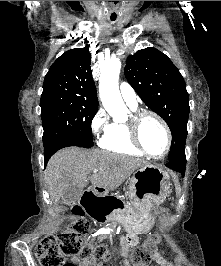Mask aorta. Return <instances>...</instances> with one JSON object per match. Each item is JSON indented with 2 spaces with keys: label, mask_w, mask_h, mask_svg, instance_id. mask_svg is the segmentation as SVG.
<instances>
[{
  "label": "aorta",
  "mask_w": 221,
  "mask_h": 266,
  "mask_svg": "<svg viewBox=\"0 0 221 266\" xmlns=\"http://www.w3.org/2000/svg\"><path fill=\"white\" fill-rule=\"evenodd\" d=\"M120 69V59L111 57L101 66L100 70V98L105 110L114 120L124 119L127 114L118 85Z\"/></svg>",
  "instance_id": "obj_1"
}]
</instances>
